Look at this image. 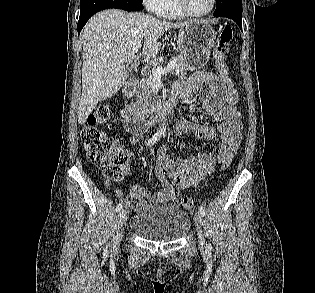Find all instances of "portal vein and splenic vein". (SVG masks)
Segmentation results:
<instances>
[{"label":"portal vein and splenic vein","instance_id":"obj_1","mask_svg":"<svg viewBox=\"0 0 315 293\" xmlns=\"http://www.w3.org/2000/svg\"><path fill=\"white\" fill-rule=\"evenodd\" d=\"M137 51H138V47H136L132 50V54H131L132 59L136 56ZM176 66H177V61L172 60L164 68L163 67H154L152 69V75H153L154 79H160L162 75L167 74L168 72L172 71L173 69H175Z\"/></svg>","mask_w":315,"mask_h":293}]
</instances>
